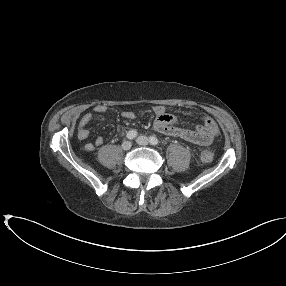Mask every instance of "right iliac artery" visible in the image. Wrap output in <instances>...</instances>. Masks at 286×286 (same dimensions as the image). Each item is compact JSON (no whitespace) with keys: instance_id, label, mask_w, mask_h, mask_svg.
Instances as JSON below:
<instances>
[{"instance_id":"obj_1","label":"right iliac artery","mask_w":286,"mask_h":286,"mask_svg":"<svg viewBox=\"0 0 286 286\" xmlns=\"http://www.w3.org/2000/svg\"><path fill=\"white\" fill-rule=\"evenodd\" d=\"M137 136V131L136 130H130L128 131L126 137L130 140L134 139Z\"/></svg>"}]
</instances>
